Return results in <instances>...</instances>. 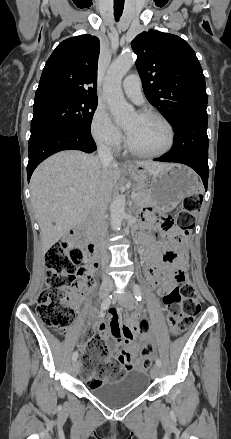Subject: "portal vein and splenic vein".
<instances>
[{
    "instance_id": "portal-vein-and-splenic-vein-1",
    "label": "portal vein and splenic vein",
    "mask_w": 231,
    "mask_h": 439,
    "mask_svg": "<svg viewBox=\"0 0 231 439\" xmlns=\"http://www.w3.org/2000/svg\"><path fill=\"white\" fill-rule=\"evenodd\" d=\"M136 197H137V194H133V195H132V198H136Z\"/></svg>"
}]
</instances>
